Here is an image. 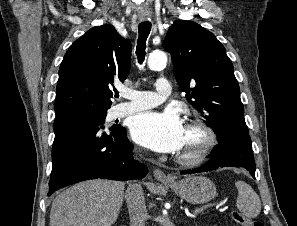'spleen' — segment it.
Masks as SVG:
<instances>
[{
    "label": "spleen",
    "mask_w": 297,
    "mask_h": 226,
    "mask_svg": "<svg viewBox=\"0 0 297 226\" xmlns=\"http://www.w3.org/2000/svg\"><path fill=\"white\" fill-rule=\"evenodd\" d=\"M238 198L236 206L240 213L247 218H255L261 211V201L252 187L244 181H237Z\"/></svg>",
    "instance_id": "obj_1"
}]
</instances>
